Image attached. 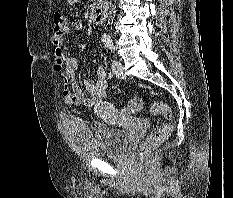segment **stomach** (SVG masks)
<instances>
[{
  "mask_svg": "<svg viewBox=\"0 0 233 198\" xmlns=\"http://www.w3.org/2000/svg\"><path fill=\"white\" fill-rule=\"evenodd\" d=\"M79 0H67L68 4L74 5L78 2Z\"/></svg>",
  "mask_w": 233,
  "mask_h": 198,
  "instance_id": "0dacf381",
  "label": "stomach"
}]
</instances>
